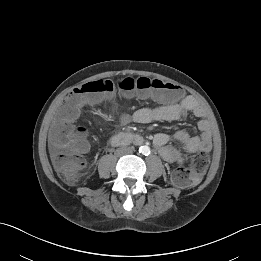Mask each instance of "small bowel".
Instances as JSON below:
<instances>
[{
  "label": "small bowel",
  "instance_id": "obj_1",
  "mask_svg": "<svg viewBox=\"0 0 261 261\" xmlns=\"http://www.w3.org/2000/svg\"><path fill=\"white\" fill-rule=\"evenodd\" d=\"M188 113L198 118L197 126L200 135H191L186 130H179L174 134V140L180 145V149L169 144L170 136L166 133H158L153 142L159 154L170 163L182 162L186 159L182 151L186 153L207 152L212 146L211 127L205 118V110L193 96H186L180 101L167 105H155L142 107L132 115L124 113L119 117L121 126L131 122L146 124L153 121H177L184 119ZM182 150V151H181Z\"/></svg>",
  "mask_w": 261,
  "mask_h": 261
}]
</instances>
